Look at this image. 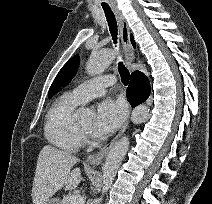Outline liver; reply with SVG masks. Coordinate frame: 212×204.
Returning a JSON list of instances; mask_svg holds the SVG:
<instances>
[{
    "label": "liver",
    "mask_w": 212,
    "mask_h": 204,
    "mask_svg": "<svg viewBox=\"0 0 212 204\" xmlns=\"http://www.w3.org/2000/svg\"><path fill=\"white\" fill-rule=\"evenodd\" d=\"M78 158L59 150L51 145H45L38 156L35 177L32 186L33 204H45L57 191L77 188L82 181L80 168L72 167Z\"/></svg>",
    "instance_id": "1"
}]
</instances>
